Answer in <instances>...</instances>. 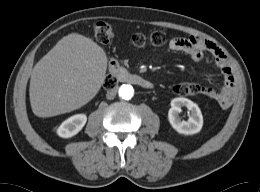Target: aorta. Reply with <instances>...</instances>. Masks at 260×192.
<instances>
[{
    "label": "aorta",
    "instance_id": "762f6f07",
    "mask_svg": "<svg viewBox=\"0 0 260 192\" xmlns=\"http://www.w3.org/2000/svg\"><path fill=\"white\" fill-rule=\"evenodd\" d=\"M119 96L124 100H130L134 95V89L129 84H123L118 90Z\"/></svg>",
    "mask_w": 260,
    "mask_h": 192
}]
</instances>
